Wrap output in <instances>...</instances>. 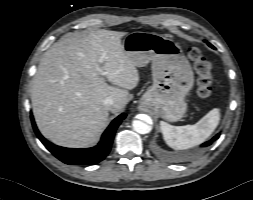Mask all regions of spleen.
<instances>
[{
	"instance_id": "3e777b00",
	"label": "spleen",
	"mask_w": 253,
	"mask_h": 200,
	"mask_svg": "<svg viewBox=\"0 0 253 200\" xmlns=\"http://www.w3.org/2000/svg\"><path fill=\"white\" fill-rule=\"evenodd\" d=\"M220 121V110L214 108L196 124L172 126L160 122L163 138L168 146L175 150H185L204 142L214 132Z\"/></svg>"
}]
</instances>
